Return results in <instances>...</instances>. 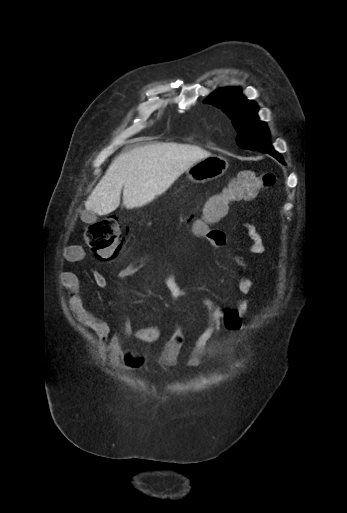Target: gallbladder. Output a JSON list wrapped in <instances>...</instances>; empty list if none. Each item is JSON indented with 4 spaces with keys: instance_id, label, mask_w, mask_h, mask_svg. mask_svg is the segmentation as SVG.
<instances>
[{
    "instance_id": "1",
    "label": "gallbladder",
    "mask_w": 347,
    "mask_h": 513,
    "mask_svg": "<svg viewBox=\"0 0 347 513\" xmlns=\"http://www.w3.org/2000/svg\"><path fill=\"white\" fill-rule=\"evenodd\" d=\"M83 218L85 219L86 223H92V222L96 221V219H97L95 214L92 212H84Z\"/></svg>"
}]
</instances>
